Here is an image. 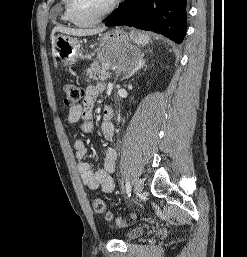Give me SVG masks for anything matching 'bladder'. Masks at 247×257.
Masks as SVG:
<instances>
[{"label":"bladder","mask_w":247,"mask_h":257,"mask_svg":"<svg viewBox=\"0 0 247 257\" xmlns=\"http://www.w3.org/2000/svg\"><path fill=\"white\" fill-rule=\"evenodd\" d=\"M146 229L144 227H135L127 231L124 235L125 240L132 241L141 237L145 233Z\"/></svg>","instance_id":"1"}]
</instances>
